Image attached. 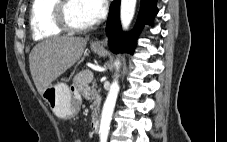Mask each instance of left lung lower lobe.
I'll use <instances>...</instances> for the list:
<instances>
[{"label": "left lung lower lobe", "instance_id": "left-lung-lower-lobe-1", "mask_svg": "<svg viewBox=\"0 0 227 142\" xmlns=\"http://www.w3.org/2000/svg\"><path fill=\"white\" fill-rule=\"evenodd\" d=\"M157 0H141L138 22L130 33L124 34L120 25V0H114L110 6L106 32L109 38L110 50L128 51L132 53L136 36L146 23H152L154 16L158 13Z\"/></svg>", "mask_w": 227, "mask_h": 142}]
</instances>
